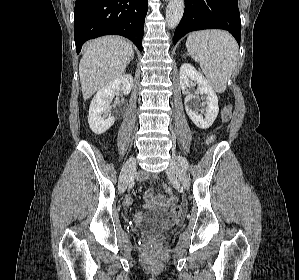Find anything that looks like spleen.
I'll list each match as a JSON object with an SVG mask.
<instances>
[{
	"label": "spleen",
	"mask_w": 299,
	"mask_h": 280,
	"mask_svg": "<svg viewBox=\"0 0 299 280\" xmlns=\"http://www.w3.org/2000/svg\"><path fill=\"white\" fill-rule=\"evenodd\" d=\"M186 47L192 59L200 63L211 87L224 92L238 61L234 38L221 30L197 31L188 36Z\"/></svg>",
	"instance_id": "spleen-1"
}]
</instances>
